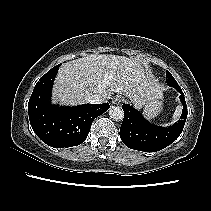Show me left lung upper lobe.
<instances>
[{
  "instance_id": "5c2ea615",
  "label": "left lung upper lobe",
  "mask_w": 211,
  "mask_h": 211,
  "mask_svg": "<svg viewBox=\"0 0 211 211\" xmlns=\"http://www.w3.org/2000/svg\"><path fill=\"white\" fill-rule=\"evenodd\" d=\"M166 81H167V84L170 86V87H175V85H177L178 83L176 82V80L173 78V76L170 74V72L166 71Z\"/></svg>"
}]
</instances>
